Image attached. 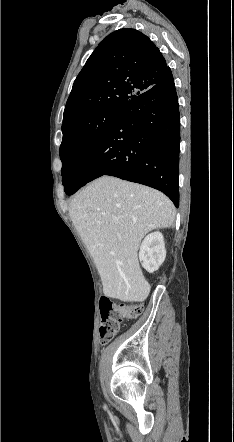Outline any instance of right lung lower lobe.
I'll use <instances>...</instances> for the list:
<instances>
[{"instance_id": "right-lung-lower-lobe-1", "label": "right lung lower lobe", "mask_w": 234, "mask_h": 442, "mask_svg": "<svg viewBox=\"0 0 234 442\" xmlns=\"http://www.w3.org/2000/svg\"><path fill=\"white\" fill-rule=\"evenodd\" d=\"M180 115L172 72L124 104L103 138L70 171L71 195L102 175L144 184L179 206Z\"/></svg>"}]
</instances>
